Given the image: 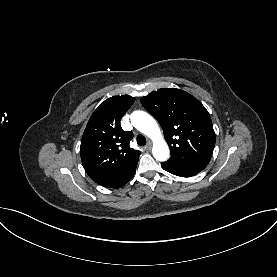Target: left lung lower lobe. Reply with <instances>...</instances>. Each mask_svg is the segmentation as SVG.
Returning a JSON list of instances; mask_svg holds the SVG:
<instances>
[{
    "mask_svg": "<svg viewBox=\"0 0 277 277\" xmlns=\"http://www.w3.org/2000/svg\"><path fill=\"white\" fill-rule=\"evenodd\" d=\"M162 168L180 177H191L202 171L207 165L195 162H164Z\"/></svg>",
    "mask_w": 277,
    "mask_h": 277,
    "instance_id": "0a47b994",
    "label": "left lung lower lobe"
}]
</instances>
